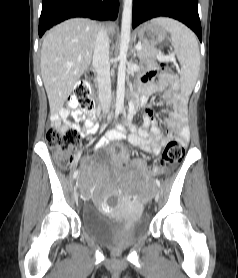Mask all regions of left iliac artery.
<instances>
[{"label": "left iliac artery", "instance_id": "1", "mask_svg": "<svg viewBox=\"0 0 238 278\" xmlns=\"http://www.w3.org/2000/svg\"><path fill=\"white\" fill-rule=\"evenodd\" d=\"M156 184L158 187H160V181L158 179H156Z\"/></svg>", "mask_w": 238, "mask_h": 278}]
</instances>
